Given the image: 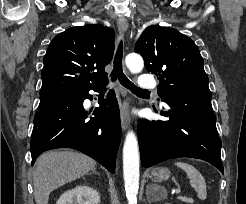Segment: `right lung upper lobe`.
<instances>
[{
    "instance_id": "cb5924a9",
    "label": "right lung upper lobe",
    "mask_w": 246,
    "mask_h": 204,
    "mask_svg": "<svg viewBox=\"0 0 246 204\" xmlns=\"http://www.w3.org/2000/svg\"><path fill=\"white\" fill-rule=\"evenodd\" d=\"M114 30L87 24L67 29L50 43L44 57L41 94L106 83L104 67L112 60ZM97 70V72H91Z\"/></svg>"
}]
</instances>
